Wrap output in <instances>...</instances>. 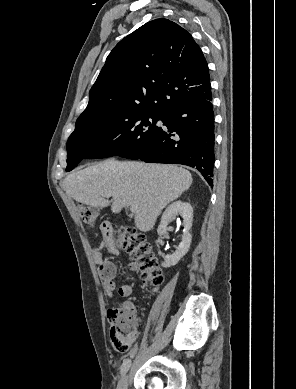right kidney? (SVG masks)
<instances>
[{
	"instance_id": "1",
	"label": "right kidney",
	"mask_w": 296,
	"mask_h": 389,
	"mask_svg": "<svg viewBox=\"0 0 296 389\" xmlns=\"http://www.w3.org/2000/svg\"><path fill=\"white\" fill-rule=\"evenodd\" d=\"M180 216L183 219V235L182 240L179 243L176 251L167 255L164 258L162 266L168 268L176 265L180 259L188 252L192 240V235L190 234V229L192 227L193 221V208L188 202L176 201L173 202L170 206L164 211L160 225L157 229L158 235L162 236L167 231V226L169 222Z\"/></svg>"
}]
</instances>
